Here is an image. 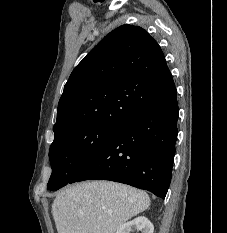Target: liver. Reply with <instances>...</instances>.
<instances>
[{
    "label": "liver",
    "mask_w": 227,
    "mask_h": 233,
    "mask_svg": "<svg viewBox=\"0 0 227 233\" xmlns=\"http://www.w3.org/2000/svg\"><path fill=\"white\" fill-rule=\"evenodd\" d=\"M150 205L148 194L111 181H91L60 192L52 212L58 233H115Z\"/></svg>",
    "instance_id": "1"
}]
</instances>
